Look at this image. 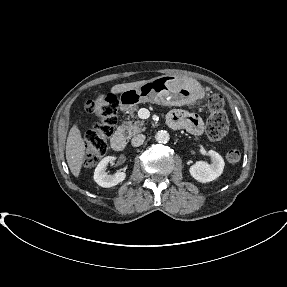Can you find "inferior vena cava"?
<instances>
[{
  "label": "inferior vena cava",
  "mask_w": 287,
  "mask_h": 287,
  "mask_svg": "<svg viewBox=\"0 0 287 287\" xmlns=\"http://www.w3.org/2000/svg\"><path fill=\"white\" fill-rule=\"evenodd\" d=\"M144 141H145V135L138 134L132 138L131 144L134 147H139L143 144Z\"/></svg>",
  "instance_id": "obj_1"
}]
</instances>
